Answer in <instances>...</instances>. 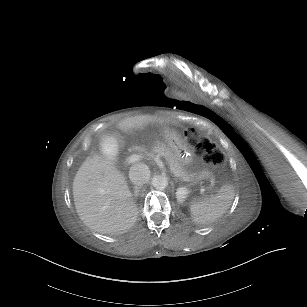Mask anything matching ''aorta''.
<instances>
[{"label": "aorta", "instance_id": "obj_1", "mask_svg": "<svg viewBox=\"0 0 307 307\" xmlns=\"http://www.w3.org/2000/svg\"><path fill=\"white\" fill-rule=\"evenodd\" d=\"M152 185L156 190L162 191L168 186V178L165 175H156L152 178Z\"/></svg>", "mask_w": 307, "mask_h": 307}]
</instances>
